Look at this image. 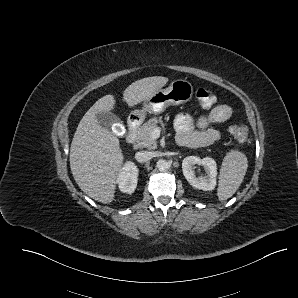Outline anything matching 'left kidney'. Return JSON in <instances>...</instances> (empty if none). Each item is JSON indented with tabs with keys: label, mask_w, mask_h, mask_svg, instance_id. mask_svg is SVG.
<instances>
[{
	"label": "left kidney",
	"mask_w": 298,
	"mask_h": 298,
	"mask_svg": "<svg viewBox=\"0 0 298 298\" xmlns=\"http://www.w3.org/2000/svg\"><path fill=\"white\" fill-rule=\"evenodd\" d=\"M194 165L204 167L205 174L196 176ZM182 172L187 182L194 188L203 191H212L217 184V163L211 157L200 158L198 156H187L182 161Z\"/></svg>",
	"instance_id": "obj_1"
}]
</instances>
